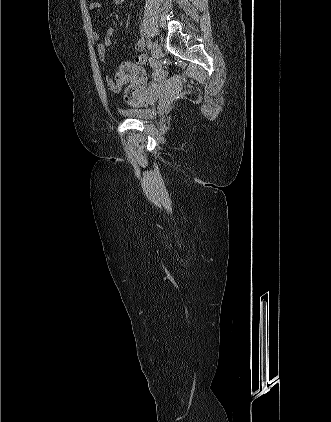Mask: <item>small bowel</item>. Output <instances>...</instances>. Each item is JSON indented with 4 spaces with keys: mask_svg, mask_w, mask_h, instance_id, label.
<instances>
[{
    "mask_svg": "<svg viewBox=\"0 0 331 422\" xmlns=\"http://www.w3.org/2000/svg\"><path fill=\"white\" fill-rule=\"evenodd\" d=\"M88 2H89L88 7H89L90 12L97 13L101 11L102 6L97 0H88ZM111 2L115 6H117L119 9L124 10L125 0H111ZM114 32H115V28L109 27L103 38L99 32L94 31L92 33V37L94 41L97 43L96 50H97L99 59L101 61H104L106 59L107 49L112 43V35ZM135 48L137 51L143 50L144 43L141 39H138L136 41ZM146 61H147V55L141 54L135 58L134 64L140 67V65H143ZM154 78L155 80L149 86L147 84L146 75L141 80L129 81L125 83H114L112 78H108L107 86L111 91L115 93H120L123 89L124 84L130 83L129 86H133L138 91L139 96L144 97V98L146 97L147 100L144 98H140L138 101H135V102L128 101V100L127 101L132 105H145V104H148L149 102H152L162 89V85L160 82L162 75H159L156 71L154 73Z\"/></svg>",
    "mask_w": 331,
    "mask_h": 422,
    "instance_id": "c3829d8e",
    "label": "small bowel"
}]
</instances>
